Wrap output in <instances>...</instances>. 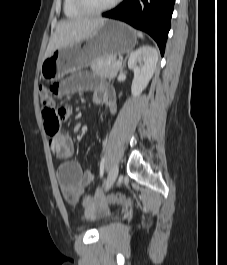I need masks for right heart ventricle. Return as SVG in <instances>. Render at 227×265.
<instances>
[{"label": "right heart ventricle", "instance_id": "right-heart-ventricle-1", "mask_svg": "<svg viewBox=\"0 0 227 265\" xmlns=\"http://www.w3.org/2000/svg\"><path fill=\"white\" fill-rule=\"evenodd\" d=\"M63 10L67 17L69 18H77L84 15L77 7L75 6L74 0H64L63 2Z\"/></svg>", "mask_w": 227, "mask_h": 265}]
</instances>
